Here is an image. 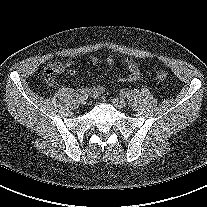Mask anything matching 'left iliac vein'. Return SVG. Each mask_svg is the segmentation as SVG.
Returning <instances> with one entry per match:
<instances>
[{"label": "left iliac vein", "instance_id": "4c4485c4", "mask_svg": "<svg viewBox=\"0 0 207 207\" xmlns=\"http://www.w3.org/2000/svg\"><path fill=\"white\" fill-rule=\"evenodd\" d=\"M112 103L116 108H124L126 106V101L123 98H114L112 99Z\"/></svg>", "mask_w": 207, "mask_h": 207}]
</instances>
